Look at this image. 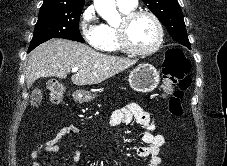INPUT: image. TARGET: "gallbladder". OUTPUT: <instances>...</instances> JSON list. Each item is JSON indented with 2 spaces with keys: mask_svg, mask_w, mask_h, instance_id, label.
I'll return each instance as SVG.
<instances>
[{
  "mask_svg": "<svg viewBox=\"0 0 227 166\" xmlns=\"http://www.w3.org/2000/svg\"><path fill=\"white\" fill-rule=\"evenodd\" d=\"M31 105L32 106H38L41 102L42 99V94H41V90L38 88H35L32 92H31Z\"/></svg>",
  "mask_w": 227,
  "mask_h": 166,
  "instance_id": "bac80fb5",
  "label": "gallbladder"
}]
</instances>
